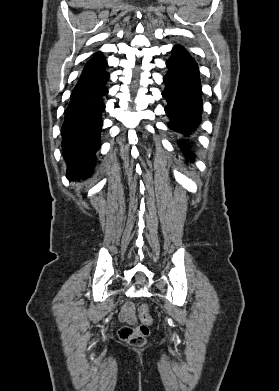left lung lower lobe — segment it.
Returning a JSON list of instances; mask_svg holds the SVG:
<instances>
[{
    "instance_id": "left-lung-lower-lobe-1",
    "label": "left lung lower lobe",
    "mask_w": 279,
    "mask_h": 391,
    "mask_svg": "<svg viewBox=\"0 0 279 391\" xmlns=\"http://www.w3.org/2000/svg\"><path fill=\"white\" fill-rule=\"evenodd\" d=\"M166 65L169 71L163 77L166 87L162 96L168 103V126L179 134L178 144L189 157L188 137L200 124L203 110L199 70L196 61L180 46L173 48Z\"/></svg>"
}]
</instances>
